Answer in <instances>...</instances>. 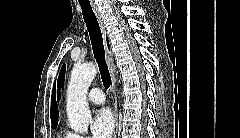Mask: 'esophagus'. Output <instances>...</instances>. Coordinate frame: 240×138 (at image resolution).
Here are the masks:
<instances>
[{"instance_id":"34e87169","label":"esophagus","mask_w":240,"mask_h":138,"mask_svg":"<svg viewBox=\"0 0 240 138\" xmlns=\"http://www.w3.org/2000/svg\"><path fill=\"white\" fill-rule=\"evenodd\" d=\"M93 11L96 15L97 21L99 23L100 29L103 34V40H104V46H105V55H106V61L109 67L110 76H111V97L113 100V111H114V132H113V138H116L117 132H118V102H117V96H116V76H115V64H114V58L113 55L109 52L106 42V32H105V25L102 19V15L100 11L98 10L97 6L95 4L92 5Z\"/></svg>"}]
</instances>
